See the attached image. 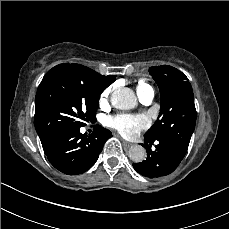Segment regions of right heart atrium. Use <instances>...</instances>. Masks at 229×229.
Instances as JSON below:
<instances>
[{
  "label": "right heart atrium",
  "mask_w": 229,
  "mask_h": 229,
  "mask_svg": "<svg viewBox=\"0 0 229 229\" xmlns=\"http://www.w3.org/2000/svg\"><path fill=\"white\" fill-rule=\"evenodd\" d=\"M111 92H112L111 87H108L102 91V93L100 94V97H99V105L101 107H104L109 103V97L111 95Z\"/></svg>",
  "instance_id": "obj_1"
}]
</instances>
